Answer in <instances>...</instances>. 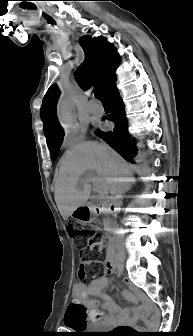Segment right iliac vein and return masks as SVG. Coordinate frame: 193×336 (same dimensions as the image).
<instances>
[{
    "label": "right iliac vein",
    "instance_id": "1",
    "mask_svg": "<svg viewBox=\"0 0 193 336\" xmlns=\"http://www.w3.org/2000/svg\"><path fill=\"white\" fill-rule=\"evenodd\" d=\"M126 261V255H123L121 257V263H120V266L123 267V263Z\"/></svg>",
    "mask_w": 193,
    "mask_h": 336
}]
</instances>
